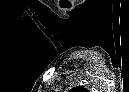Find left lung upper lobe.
Instances as JSON below:
<instances>
[{
  "label": "left lung upper lobe",
  "instance_id": "left-lung-upper-lobe-1",
  "mask_svg": "<svg viewBox=\"0 0 129 92\" xmlns=\"http://www.w3.org/2000/svg\"><path fill=\"white\" fill-rule=\"evenodd\" d=\"M70 92H88V90H86L84 87L82 86H77L74 87L70 90Z\"/></svg>",
  "mask_w": 129,
  "mask_h": 92
}]
</instances>
